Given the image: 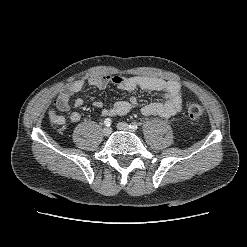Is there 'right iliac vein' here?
<instances>
[{"label": "right iliac vein", "mask_w": 247, "mask_h": 247, "mask_svg": "<svg viewBox=\"0 0 247 247\" xmlns=\"http://www.w3.org/2000/svg\"><path fill=\"white\" fill-rule=\"evenodd\" d=\"M111 132H112V130H111L110 127H104V128H103V134H104L105 136L110 135Z\"/></svg>", "instance_id": "1"}]
</instances>
